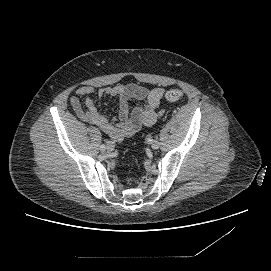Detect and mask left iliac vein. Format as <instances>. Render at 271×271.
Segmentation results:
<instances>
[{
    "label": "left iliac vein",
    "mask_w": 271,
    "mask_h": 271,
    "mask_svg": "<svg viewBox=\"0 0 271 271\" xmlns=\"http://www.w3.org/2000/svg\"><path fill=\"white\" fill-rule=\"evenodd\" d=\"M160 147V142L158 140H154L152 143H151V148L156 150Z\"/></svg>",
    "instance_id": "left-iliac-vein-1"
}]
</instances>
